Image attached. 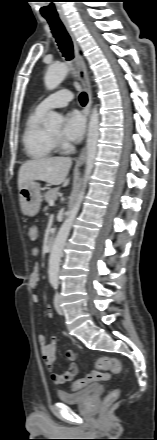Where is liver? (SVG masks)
<instances>
[{
  "label": "liver",
  "mask_w": 157,
  "mask_h": 440,
  "mask_svg": "<svg viewBox=\"0 0 157 440\" xmlns=\"http://www.w3.org/2000/svg\"><path fill=\"white\" fill-rule=\"evenodd\" d=\"M72 165L69 157L39 158L25 162L19 169L18 188L21 189L36 180L44 181L49 185L69 184L67 175Z\"/></svg>",
  "instance_id": "6515ba94"
}]
</instances>
